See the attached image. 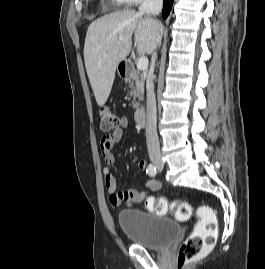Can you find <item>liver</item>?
<instances>
[{
  "label": "liver",
  "mask_w": 265,
  "mask_h": 269,
  "mask_svg": "<svg viewBox=\"0 0 265 269\" xmlns=\"http://www.w3.org/2000/svg\"><path fill=\"white\" fill-rule=\"evenodd\" d=\"M162 30L159 21L143 17L134 10L116 11L90 24L84 44V61L99 106H103L110 95L118 64L131 51L133 34L138 54L144 55L155 50Z\"/></svg>",
  "instance_id": "liver-1"
}]
</instances>
